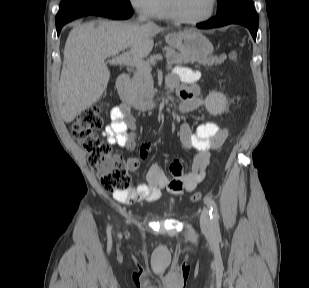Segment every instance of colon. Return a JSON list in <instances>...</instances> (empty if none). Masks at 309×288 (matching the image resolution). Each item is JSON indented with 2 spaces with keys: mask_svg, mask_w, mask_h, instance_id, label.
I'll list each match as a JSON object with an SVG mask.
<instances>
[{
  "mask_svg": "<svg viewBox=\"0 0 309 288\" xmlns=\"http://www.w3.org/2000/svg\"><path fill=\"white\" fill-rule=\"evenodd\" d=\"M229 59L235 62L236 52H230ZM102 108L103 102H99L83 109L72 123L71 134L88 154V165L97 175L102 188L110 193H126L130 187L126 161L97 134L103 124ZM201 198L200 191L191 196L194 202Z\"/></svg>",
  "mask_w": 309,
  "mask_h": 288,
  "instance_id": "5ec220e1",
  "label": "colon"
}]
</instances>
